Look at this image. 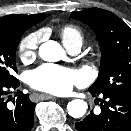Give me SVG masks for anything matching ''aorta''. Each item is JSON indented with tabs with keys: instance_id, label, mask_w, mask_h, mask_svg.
<instances>
[{
	"instance_id": "aorta-1",
	"label": "aorta",
	"mask_w": 131,
	"mask_h": 131,
	"mask_svg": "<svg viewBox=\"0 0 131 131\" xmlns=\"http://www.w3.org/2000/svg\"><path fill=\"white\" fill-rule=\"evenodd\" d=\"M40 57L48 62H55L60 60L64 51L59 43L55 41H48L39 47ZM88 105L81 99H75L67 104L68 114L73 118H81L85 115Z\"/></svg>"
}]
</instances>
